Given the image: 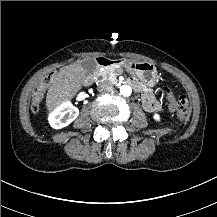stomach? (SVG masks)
Here are the masks:
<instances>
[{"label":"stomach","instance_id":"obj_1","mask_svg":"<svg viewBox=\"0 0 217 217\" xmlns=\"http://www.w3.org/2000/svg\"><path fill=\"white\" fill-rule=\"evenodd\" d=\"M131 75L135 76L147 87H154L157 81V69L153 63L124 60L121 65Z\"/></svg>","mask_w":217,"mask_h":217}]
</instances>
